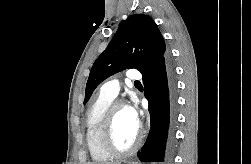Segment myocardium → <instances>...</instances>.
Returning <instances> with one entry per match:
<instances>
[{
	"label": "myocardium",
	"mask_w": 251,
	"mask_h": 164,
	"mask_svg": "<svg viewBox=\"0 0 251 164\" xmlns=\"http://www.w3.org/2000/svg\"><path fill=\"white\" fill-rule=\"evenodd\" d=\"M120 107H124V102L122 101H114L109 106L102 127V144L107 152H109L112 156H127L134 153L141 145L142 141V132L140 128L137 129V136L134 144L127 148L121 149L119 148L114 140V122L116 112Z\"/></svg>",
	"instance_id": "myocardium-1"
}]
</instances>
